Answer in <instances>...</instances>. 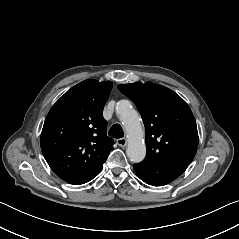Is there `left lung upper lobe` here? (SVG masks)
<instances>
[{"label": "left lung upper lobe", "instance_id": "5c2ea615", "mask_svg": "<svg viewBox=\"0 0 239 239\" xmlns=\"http://www.w3.org/2000/svg\"><path fill=\"white\" fill-rule=\"evenodd\" d=\"M117 87L135 103L142 116L147 148L142 162L188 166L199 142L188 104L174 91L152 82Z\"/></svg>", "mask_w": 239, "mask_h": 239}]
</instances>
